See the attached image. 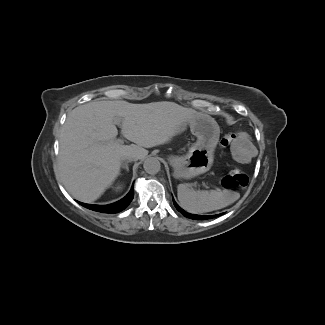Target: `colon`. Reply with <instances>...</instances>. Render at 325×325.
I'll list each match as a JSON object with an SVG mask.
<instances>
[{"instance_id": "5ec220e1", "label": "colon", "mask_w": 325, "mask_h": 325, "mask_svg": "<svg viewBox=\"0 0 325 325\" xmlns=\"http://www.w3.org/2000/svg\"><path fill=\"white\" fill-rule=\"evenodd\" d=\"M234 138V135L228 133L221 139L223 146H228ZM222 186L225 189H235L238 187H244L248 184V177L239 169H233L225 175L221 181Z\"/></svg>"}]
</instances>
